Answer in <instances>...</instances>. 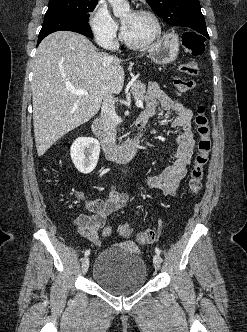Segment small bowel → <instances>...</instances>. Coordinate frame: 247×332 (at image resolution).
<instances>
[{"label":"small bowel","instance_id":"1","mask_svg":"<svg viewBox=\"0 0 247 332\" xmlns=\"http://www.w3.org/2000/svg\"><path fill=\"white\" fill-rule=\"evenodd\" d=\"M146 102V109L142 112V116L147 119L152 118L158 114L160 108L172 111L176 115L173 125L181 132L176 137L177 148L173 161L160 174L145 178L142 183L149 188L161 190L166 195H174L186 176L195 146L191 127L192 112L178 100L169 97L155 83L149 86ZM77 196L84 201L91 214L77 216L74 224L82 236L98 245L99 231L105 225L107 217L125 206L128 195L118 192L113 187L105 200L87 199L81 192H77Z\"/></svg>","mask_w":247,"mask_h":332}]
</instances>
